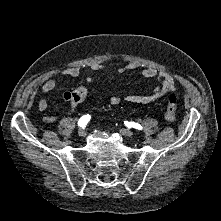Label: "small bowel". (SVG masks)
I'll list each match as a JSON object with an SVG mask.
<instances>
[{
    "mask_svg": "<svg viewBox=\"0 0 221 221\" xmlns=\"http://www.w3.org/2000/svg\"><path fill=\"white\" fill-rule=\"evenodd\" d=\"M136 68L137 66L135 64H128L121 68L116 69L114 73L125 74ZM90 69L91 71H94V72L109 70L108 66L98 63V62L91 64ZM80 74H81V68L78 66H70L61 71L62 76H66L70 78H77L80 76ZM141 74L144 78H149V79L156 78L159 82V85L147 95H135V94L126 95L124 97V100L126 102L133 103V104H148L159 98H162L163 96L175 90V79L172 75H170L167 72H159L158 70L154 68H146L142 70ZM86 81L88 83H92L94 81V77L92 75H89L87 76ZM58 84H59L58 79L50 78L42 84L41 90L44 93L52 92L58 87ZM80 88H83V87H80ZM74 91L65 92L62 95L63 100H65L66 102H70L69 97L71 93H73ZM121 101H122V97L116 95L110 98L109 103L112 106H116ZM47 107H48V102L45 99H41L38 103V108L41 111H44L47 109ZM43 120L45 122H54L57 120V115H54V114L45 115L43 117Z\"/></svg>",
    "mask_w": 221,
    "mask_h": 221,
    "instance_id": "small-bowel-1",
    "label": "small bowel"
}]
</instances>
